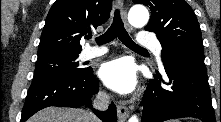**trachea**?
I'll list each match as a JSON object with an SVG mask.
<instances>
[{
	"instance_id": "obj_1",
	"label": "trachea",
	"mask_w": 221,
	"mask_h": 122,
	"mask_svg": "<svg viewBox=\"0 0 221 122\" xmlns=\"http://www.w3.org/2000/svg\"><path fill=\"white\" fill-rule=\"evenodd\" d=\"M92 36H88L87 39H90ZM116 37L119 38V40L130 49L135 50H146L139 45H137L129 36L128 32L124 28L123 21L120 16L119 10L115 11L113 23L108 28V30L102 34L101 36L96 38V42L99 45H103L106 43H109L113 41Z\"/></svg>"
}]
</instances>
